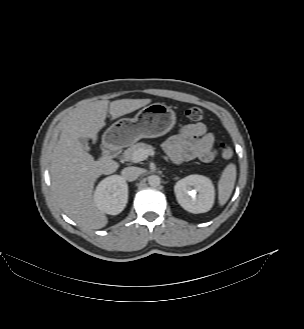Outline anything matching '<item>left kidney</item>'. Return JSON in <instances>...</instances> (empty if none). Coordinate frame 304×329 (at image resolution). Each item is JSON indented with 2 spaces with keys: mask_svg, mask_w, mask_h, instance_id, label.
Returning <instances> with one entry per match:
<instances>
[{
  "mask_svg": "<svg viewBox=\"0 0 304 329\" xmlns=\"http://www.w3.org/2000/svg\"><path fill=\"white\" fill-rule=\"evenodd\" d=\"M174 192L180 206L194 214L209 211L215 199L212 181L202 175H189L179 180Z\"/></svg>",
  "mask_w": 304,
  "mask_h": 329,
  "instance_id": "obj_1",
  "label": "left kidney"
}]
</instances>
